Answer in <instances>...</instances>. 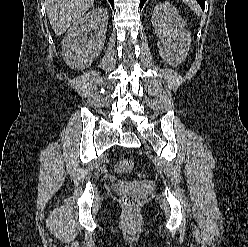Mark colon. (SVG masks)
I'll use <instances>...</instances> for the list:
<instances>
[{"instance_id": "colon-1", "label": "colon", "mask_w": 248, "mask_h": 247, "mask_svg": "<svg viewBox=\"0 0 248 247\" xmlns=\"http://www.w3.org/2000/svg\"><path fill=\"white\" fill-rule=\"evenodd\" d=\"M133 169V162L123 159L116 163L115 171L118 173H129ZM122 204L127 209H135L139 205V198L133 193H127L122 197Z\"/></svg>"}]
</instances>
